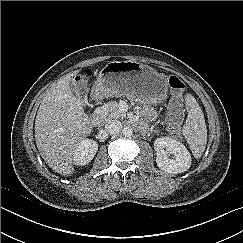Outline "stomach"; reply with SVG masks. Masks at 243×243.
I'll list each match as a JSON object with an SVG mask.
<instances>
[{
	"mask_svg": "<svg viewBox=\"0 0 243 243\" xmlns=\"http://www.w3.org/2000/svg\"><path fill=\"white\" fill-rule=\"evenodd\" d=\"M94 90L98 96L122 97L143 103L163 101L168 92L164 75L137 61H111L99 72Z\"/></svg>",
	"mask_w": 243,
	"mask_h": 243,
	"instance_id": "obj_1",
	"label": "stomach"
}]
</instances>
